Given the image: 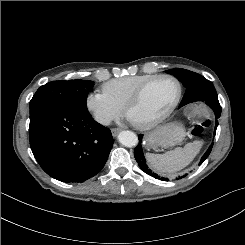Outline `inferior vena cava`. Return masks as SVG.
I'll return each mask as SVG.
<instances>
[{
    "label": "inferior vena cava",
    "mask_w": 245,
    "mask_h": 245,
    "mask_svg": "<svg viewBox=\"0 0 245 245\" xmlns=\"http://www.w3.org/2000/svg\"><path fill=\"white\" fill-rule=\"evenodd\" d=\"M111 122V119L110 118H103L100 120V123L103 124V125H109Z\"/></svg>",
    "instance_id": "602c4592"
}]
</instances>
